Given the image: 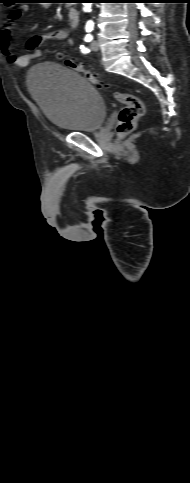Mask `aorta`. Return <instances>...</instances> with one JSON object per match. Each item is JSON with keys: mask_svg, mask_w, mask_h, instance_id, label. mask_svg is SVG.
Returning a JSON list of instances; mask_svg holds the SVG:
<instances>
[{"mask_svg": "<svg viewBox=\"0 0 190 483\" xmlns=\"http://www.w3.org/2000/svg\"><path fill=\"white\" fill-rule=\"evenodd\" d=\"M83 5H84L83 10L85 12H91L92 3H83Z\"/></svg>", "mask_w": 190, "mask_h": 483, "instance_id": "aorta-1", "label": "aorta"}]
</instances>
